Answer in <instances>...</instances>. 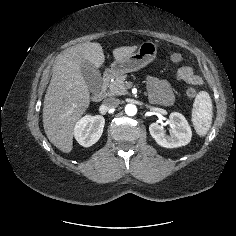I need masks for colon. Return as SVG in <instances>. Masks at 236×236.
I'll list each match as a JSON object with an SVG mask.
<instances>
[{
  "label": "colon",
  "mask_w": 236,
  "mask_h": 236,
  "mask_svg": "<svg viewBox=\"0 0 236 236\" xmlns=\"http://www.w3.org/2000/svg\"><path fill=\"white\" fill-rule=\"evenodd\" d=\"M183 54L176 49H170L167 51V59L170 63L172 64H180L183 61ZM186 95L193 99L196 97L197 92L194 88L192 87H187L186 88Z\"/></svg>",
  "instance_id": "colon-1"
}]
</instances>
